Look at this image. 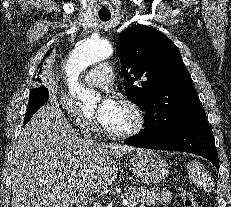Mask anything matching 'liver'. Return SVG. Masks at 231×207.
I'll use <instances>...</instances> for the list:
<instances>
[{
	"mask_svg": "<svg viewBox=\"0 0 231 207\" xmlns=\"http://www.w3.org/2000/svg\"><path fill=\"white\" fill-rule=\"evenodd\" d=\"M139 150L86 144L61 109L40 108L23 129L11 161L12 207H72L107 189L118 165L111 156Z\"/></svg>",
	"mask_w": 231,
	"mask_h": 207,
	"instance_id": "6515ba94",
	"label": "liver"
}]
</instances>
